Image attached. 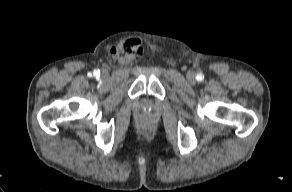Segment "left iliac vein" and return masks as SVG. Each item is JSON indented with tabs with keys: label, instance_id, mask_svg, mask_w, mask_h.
<instances>
[{
	"label": "left iliac vein",
	"instance_id": "left-iliac-vein-1",
	"mask_svg": "<svg viewBox=\"0 0 292 192\" xmlns=\"http://www.w3.org/2000/svg\"><path fill=\"white\" fill-rule=\"evenodd\" d=\"M188 77H189L190 80H194V74L193 73H189Z\"/></svg>",
	"mask_w": 292,
	"mask_h": 192
}]
</instances>
